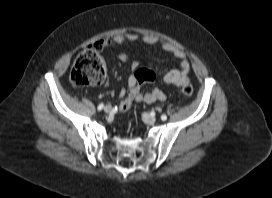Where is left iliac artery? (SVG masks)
I'll list each match as a JSON object with an SVG mask.
<instances>
[{
	"instance_id": "left-iliac-artery-1",
	"label": "left iliac artery",
	"mask_w": 272,
	"mask_h": 198,
	"mask_svg": "<svg viewBox=\"0 0 272 198\" xmlns=\"http://www.w3.org/2000/svg\"><path fill=\"white\" fill-rule=\"evenodd\" d=\"M161 119L164 121L167 119V116L165 114L161 115Z\"/></svg>"
}]
</instances>
